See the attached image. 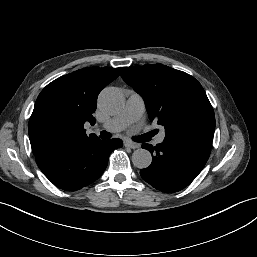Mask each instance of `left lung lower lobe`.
<instances>
[{"instance_id":"obj_1","label":"left lung lower lobe","mask_w":257,"mask_h":257,"mask_svg":"<svg viewBox=\"0 0 257 257\" xmlns=\"http://www.w3.org/2000/svg\"><path fill=\"white\" fill-rule=\"evenodd\" d=\"M212 138H165L153 147L142 148L152 154V163L140 171L141 177L154 188L173 193L188 186L204 168L211 150Z\"/></svg>"}]
</instances>
